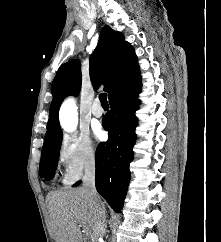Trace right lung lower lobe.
<instances>
[{"label": "right lung lower lobe", "instance_id": "1", "mask_svg": "<svg viewBox=\"0 0 221 242\" xmlns=\"http://www.w3.org/2000/svg\"><path fill=\"white\" fill-rule=\"evenodd\" d=\"M140 78V73L127 78L109 98L111 110L103 120L109 132L108 140L98 145L95 154L96 189L116 212L123 208L130 180L129 164L136 140L135 111L140 104L137 99L141 90Z\"/></svg>", "mask_w": 221, "mask_h": 242}]
</instances>
